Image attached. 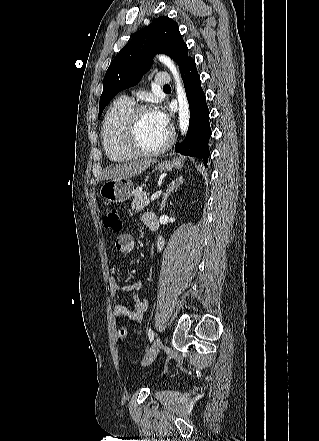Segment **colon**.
Returning <instances> with one entry per match:
<instances>
[{
	"instance_id": "5ec220e1",
	"label": "colon",
	"mask_w": 319,
	"mask_h": 441,
	"mask_svg": "<svg viewBox=\"0 0 319 441\" xmlns=\"http://www.w3.org/2000/svg\"><path fill=\"white\" fill-rule=\"evenodd\" d=\"M103 225L105 228L114 232H119L122 229V220L120 212L117 208L108 209L103 216ZM127 331L124 327L119 329V337L125 339Z\"/></svg>"
}]
</instances>
